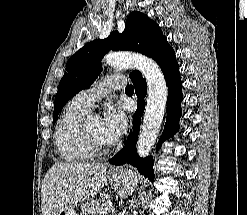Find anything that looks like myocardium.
Returning a JSON list of instances; mask_svg holds the SVG:
<instances>
[{
    "instance_id": "f54148a6",
    "label": "myocardium",
    "mask_w": 247,
    "mask_h": 215,
    "mask_svg": "<svg viewBox=\"0 0 247 215\" xmlns=\"http://www.w3.org/2000/svg\"><path fill=\"white\" fill-rule=\"evenodd\" d=\"M81 134H82L86 147L93 155H102L111 148L110 143L104 144V143L99 142L90 133V131L86 128V125L83 123L81 124Z\"/></svg>"
}]
</instances>
